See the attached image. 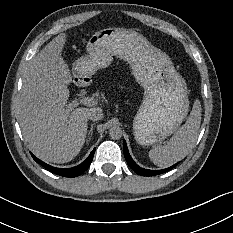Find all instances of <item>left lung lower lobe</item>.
I'll return each mask as SVG.
<instances>
[{
    "mask_svg": "<svg viewBox=\"0 0 233 233\" xmlns=\"http://www.w3.org/2000/svg\"><path fill=\"white\" fill-rule=\"evenodd\" d=\"M123 151H124V156L125 159L128 163V165L139 175L142 176H153V175H158V174H162L165 173L171 169H173L175 166H177V164H174L173 166L167 168V169H162V170H147V169H143L141 167H139L131 158L129 152H128V148H127V144L125 142V140L123 141Z\"/></svg>",
    "mask_w": 233,
    "mask_h": 233,
    "instance_id": "0a47b994",
    "label": "left lung lower lobe"
}]
</instances>
